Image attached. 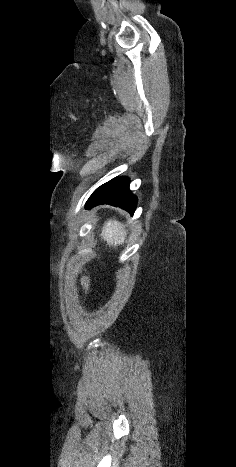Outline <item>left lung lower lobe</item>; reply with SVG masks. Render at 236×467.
Wrapping results in <instances>:
<instances>
[{
	"instance_id": "1",
	"label": "left lung lower lobe",
	"mask_w": 236,
	"mask_h": 467,
	"mask_svg": "<svg viewBox=\"0 0 236 467\" xmlns=\"http://www.w3.org/2000/svg\"><path fill=\"white\" fill-rule=\"evenodd\" d=\"M100 204L117 206L133 214L137 197L129 190V178L117 177L101 185L89 197L85 207L88 209Z\"/></svg>"
}]
</instances>
